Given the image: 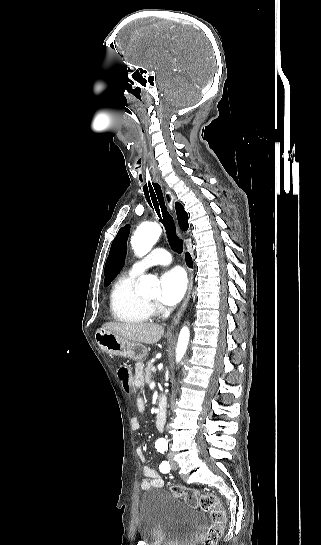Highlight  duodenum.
<instances>
[{
    "mask_svg": "<svg viewBox=\"0 0 321 545\" xmlns=\"http://www.w3.org/2000/svg\"><path fill=\"white\" fill-rule=\"evenodd\" d=\"M166 404V397L164 395H160L158 397V412L155 419L156 428L159 431L164 428L166 420Z\"/></svg>",
    "mask_w": 321,
    "mask_h": 545,
    "instance_id": "410a0bca",
    "label": "duodenum"
}]
</instances>
